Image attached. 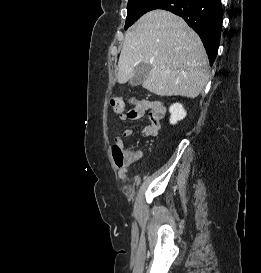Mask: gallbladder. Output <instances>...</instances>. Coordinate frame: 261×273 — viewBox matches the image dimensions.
<instances>
[{"mask_svg": "<svg viewBox=\"0 0 261 273\" xmlns=\"http://www.w3.org/2000/svg\"><path fill=\"white\" fill-rule=\"evenodd\" d=\"M152 66L150 64L140 63L135 68L134 76L130 79L129 83L132 86L140 85L144 82L149 75Z\"/></svg>", "mask_w": 261, "mask_h": 273, "instance_id": "1", "label": "gallbladder"}]
</instances>
